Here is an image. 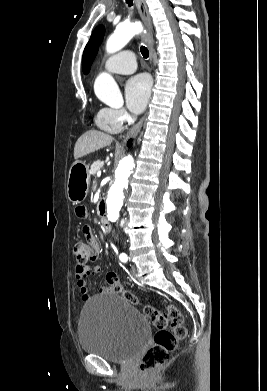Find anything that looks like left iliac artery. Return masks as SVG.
Here are the masks:
<instances>
[{
	"label": "left iliac artery",
	"mask_w": 267,
	"mask_h": 391,
	"mask_svg": "<svg viewBox=\"0 0 267 391\" xmlns=\"http://www.w3.org/2000/svg\"><path fill=\"white\" fill-rule=\"evenodd\" d=\"M127 255L126 254H122L121 256H120V260L122 261V262H126L127 261Z\"/></svg>",
	"instance_id": "1"
}]
</instances>
